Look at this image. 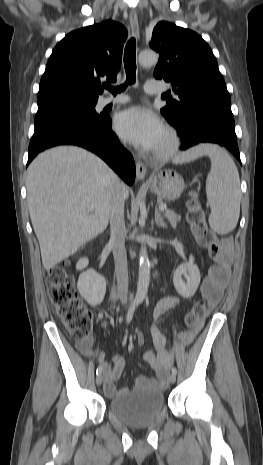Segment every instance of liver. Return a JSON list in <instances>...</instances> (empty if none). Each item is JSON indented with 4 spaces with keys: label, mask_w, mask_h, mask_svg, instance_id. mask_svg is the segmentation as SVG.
I'll return each instance as SVG.
<instances>
[{
    "label": "liver",
    "mask_w": 263,
    "mask_h": 465,
    "mask_svg": "<svg viewBox=\"0 0 263 465\" xmlns=\"http://www.w3.org/2000/svg\"><path fill=\"white\" fill-rule=\"evenodd\" d=\"M118 183L104 161L75 146L49 149L31 162L26 173L27 203L46 270L107 228ZM128 196L124 187L125 199Z\"/></svg>",
    "instance_id": "obj_1"
}]
</instances>
